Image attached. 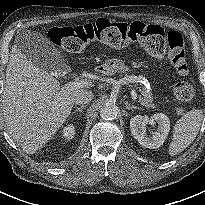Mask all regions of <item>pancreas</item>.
Here are the masks:
<instances>
[{
  "mask_svg": "<svg viewBox=\"0 0 205 205\" xmlns=\"http://www.w3.org/2000/svg\"><path fill=\"white\" fill-rule=\"evenodd\" d=\"M107 62L104 64L106 65ZM125 80L128 82H134V77L133 76H126ZM141 96L139 97V102L142 106H145L147 108H152L155 109V103L153 102V97L152 94L150 92H148L146 89H143L141 91Z\"/></svg>",
  "mask_w": 205,
  "mask_h": 205,
  "instance_id": "pancreas-1",
  "label": "pancreas"
}]
</instances>
